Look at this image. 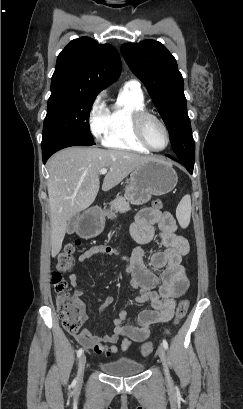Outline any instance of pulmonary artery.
<instances>
[{
  "instance_id": "1",
  "label": "pulmonary artery",
  "mask_w": 243,
  "mask_h": 409,
  "mask_svg": "<svg viewBox=\"0 0 243 409\" xmlns=\"http://www.w3.org/2000/svg\"><path fill=\"white\" fill-rule=\"evenodd\" d=\"M124 87L141 92V84L138 80H128L127 82H125Z\"/></svg>"
}]
</instances>
